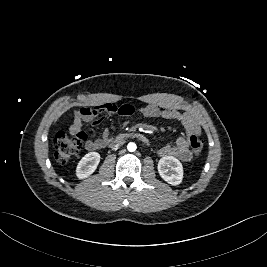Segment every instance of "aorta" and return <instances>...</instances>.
<instances>
[{
    "mask_svg": "<svg viewBox=\"0 0 267 267\" xmlns=\"http://www.w3.org/2000/svg\"><path fill=\"white\" fill-rule=\"evenodd\" d=\"M136 148H137V146H136V144L133 143V142H130V143H128V145H127V149H128V151H130V152H134V151L136 150Z\"/></svg>",
    "mask_w": 267,
    "mask_h": 267,
    "instance_id": "aorta-1",
    "label": "aorta"
}]
</instances>
